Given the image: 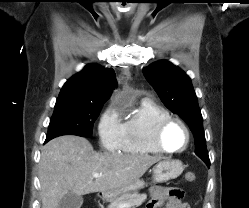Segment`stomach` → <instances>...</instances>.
<instances>
[{"label":"stomach","mask_w":249,"mask_h":208,"mask_svg":"<svg viewBox=\"0 0 249 208\" xmlns=\"http://www.w3.org/2000/svg\"><path fill=\"white\" fill-rule=\"evenodd\" d=\"M183 170L184 167L180 160H162L153 167V181L156 183H163L171 179H175L181 175ZM144 186L145 182L143 180H138L126 188L102 192V197L107 201H111L125 193L136 192L144 188Z\"/></svg>","instance_id":"obj_1"}]
</instances>
